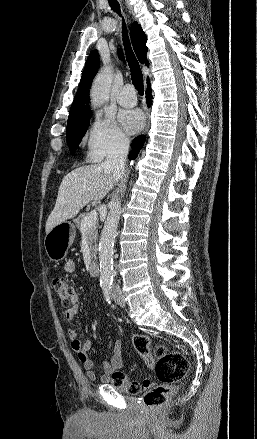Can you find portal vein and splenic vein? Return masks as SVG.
<instances>
[{"label": "portal vein and splenic vein", "mask_w": 257, "mask_h": 439, "mask_svg": "<svg viewBox=\"0 0 257 439\" xmlns=\"http://www.w3.org/2000/svg\"><path fill=\"white\" fill-rule=\"evenodd\" d=\"M97 220L96 210H92L82 221V228H90Z\"/></svg>", "instance_id": "1"}]
</instances>
